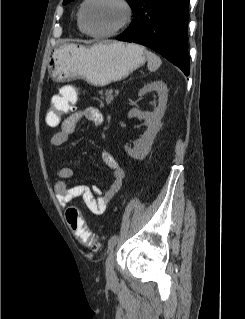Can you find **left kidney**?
<instances>
[{
    "label": "left kidney",
    "instance_id": "obj_1",
    "mask_svg": "<svg viewBox=\"0 0 245 319\" xmlns=\"http://www.w3.org/2000/svg\"><path fill=\"white\" fill-rule=\"evenodd\" d=\"M156 91L158 94V106L153 112L141 111L138 108H133L128 113V118L144 119L147 125V131L137 140L133 149L125 146L127 153L134 159L142 160L149 153L157 132L161 127V119L164 115L167 104V85L163 81H154L144 85L138 93L139 97L145 94Z\"/></svg>",
    "mask_w": 245,
    "mask_h": 319
}]
</instances>
